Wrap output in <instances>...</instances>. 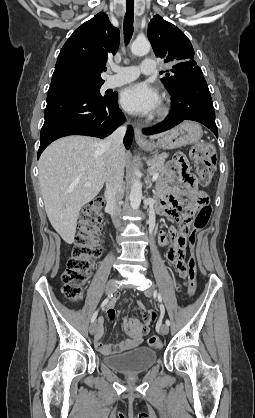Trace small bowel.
<instances>
[{
	"label": "small bowel",
	"instance_id": "c3829d8e",
	"mask_svg": "<svg viewBox=\"0 0 255 418\" xmlns=\"http://www.w3.org/2000/svg\"><path fill=\"white\" fill-rule=\"evenodd\" d=\"M173 163L165 173L164 179L159 188L161 204L159 211L172 220L179 221L187 219L192 211V201L198 195V185L195 177L189 172L188 163L191 161L190 154L185 153L183 147L176 149L173 156ZM193 234L192 228L171 227L168 231L159 234V243L165 248V255L171 262V270L175 272L177 280H186L188 277V266L185 261L187 237ZM143 308V306L140 304ZM108 318L114 320L117 316L115 302L105 305ZM146 324L137 318L126 319L123 327L128 338L116 345H108L102 341L104 319L101 317L97 323L94 333L96 348L105 355L122 353L141 345L144 335L149 332V323L156 318L152 310H144Z\"/></svg>",
	"mask_w": 255,
	"mask_h": 418
}]
</instances>
